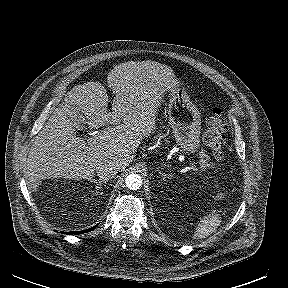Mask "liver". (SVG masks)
<instances>
[{
  "label": "liver",
  "instance_id": "obj_1",
  "mask_svg": "<svg viewBox=\"0 0 288 288\" xmlns=\"http://www.w3.org/2000/svg\"><path fill=\"white\" fill-rule=\"evenodd\" d=\"M107 84L116 93L112 112L107 111L105 87L97 81L87 82L67 93L63 105L54 110L38 133L26 167V180L33 191L41 180L51 177L91 180L96 165L107 160L125 169L142 138L154 132L162 97L177 80L167 65L129 61L108 73ZM74 109L86 116L89 128L107 126L96 141L90 143L76 136L68 115ZM112 124L116 126H109Z\"/></svg>",
  "mask_w": 288,
  "mask_h": 288
}]
</instances>
